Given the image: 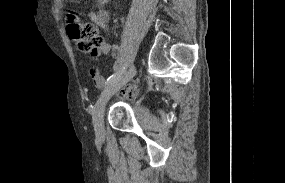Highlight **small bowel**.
I'll return each mask as SVG.
<instances>
[{
    "label": "small bowel",
    "instance_id": "1",
    "mask_svg": "<svg viewBox=\"0 0 285 183\" xmlns=\"http://www.w3.org/2000/svg\"><path fill=\"white\" fill-rule=\"evenodd\" d=\"M109 0H96V9L88 12L90 20L105 32L109 30L110 15L106 10ZM94 57L101 55H109L114 60L113 69L117 72L120 68V49L117 45H112L107 41H103L101 45L92 54ZM90 77L97 88H102L105 85V78L97 67H92L89 71ZM139 89L135 86L129 87L126 94L130 97H136Z\"/></svg>",
    "mask_w": 285,
    "mask_h": 183
}]
</instances>
